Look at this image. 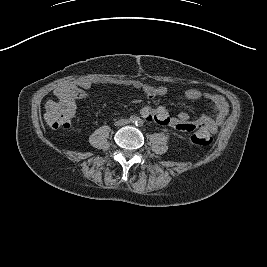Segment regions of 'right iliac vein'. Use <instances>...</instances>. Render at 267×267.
I'll return each instance as SVG.
<instances>
[{
    "instance_id": "right-iliac-vein-1",
    "label": "right iliac vein",
    "mask_w": 267,
    "mask_h": 267,
    "mask_svg": "<svg viewBox=\"0 0 267 267\" xmlns=\"http://www.w3.org/2000/svg\"><path fill=\"white\" fill-rule=\"evenodd\" d=\"M121 125V122H118V126H120Z\"/></svg>"
}]
</instances>
